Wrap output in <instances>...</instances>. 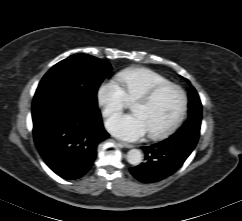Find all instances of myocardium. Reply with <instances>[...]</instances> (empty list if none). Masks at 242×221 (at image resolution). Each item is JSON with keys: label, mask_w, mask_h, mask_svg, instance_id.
Masks as SVG:
<instances>
[{"label": "myocardium", "mask_w": 242, "mask_h": 221, "mask_svg": "<svg viewBox=\"0 0 242 221\" xmlns=\"http://www.w3.org/2000/svg\"><path fill=\"white\" fill-rule=\"evenodd\" d=\"M167 89H175L179 92V94L181 96V106H180L177 116L171 122V124H169L166 128H164L163 130H160L158 132L148 133V137L152 140L162 139V138L170 135L180 125V123L182 122V120L186 114L187 107H188L187 93L180 85L168 82V83H164V84H161V85L153 88L148 93L144 94L143 96H141L137 100H135V103L150 104L154 100H156V98L162 92H164Z\"/></svg>", "instance_id": "obj_1"}]
</instances>
